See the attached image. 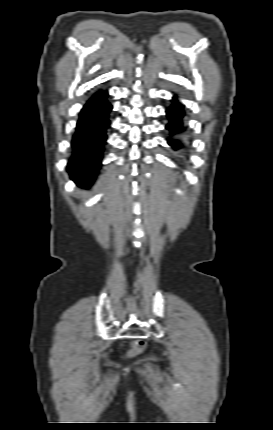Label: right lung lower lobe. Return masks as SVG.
Listing matches in <instances>:
<instances>
[{
    "label": "right lung lower lobe",
    "instance_id": "1",
    "mask_svg": "<svg viewBox=\"0 0 273 430\" xmlns=\"http://www.w3.org/2000/svg\"><path fill=\"white\" fill-rule=\"evenodd\" d=\"M107 91L96 92L83 106L72 138V154L67 170L75 183L88 188L101 168L111 105Z\"/></svg>",
    "mask_w": 273,
    "mask_h": 430
}]
</instances>
